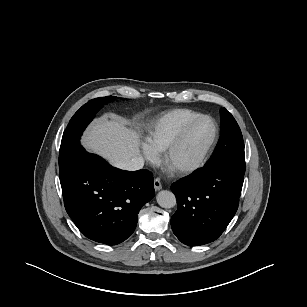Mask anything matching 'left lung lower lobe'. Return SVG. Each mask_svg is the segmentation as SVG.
I'll list each match as a JSON object with an SVG mask.
<instances>
[{"label": "left lung lower lobe", "mask_w": 307, "mask_h": 307, "mask_svg": "<svg viewBox=\"0 0 307 307\" xmlns=\"http://www.w3.org/2000/svg\"><path fill=\"white\" fill-rule=\"evenodd\" d=\"M244 174L225 167H204L173 183L178 209L171 218L177 238L189 246L213 242L234 217Z\"/></svg>", "instance_id": "1"}]
</instances>
